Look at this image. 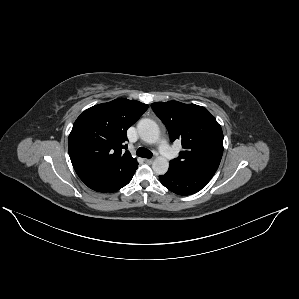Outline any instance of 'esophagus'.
Returning a JSON list of instances; mask_svg holds the SVG:
<instances>
[{
	"instance_id": "obj_1",
	"label": "esophagus",
	"mask_w": 299,
	"mask_h": 299,
	"mask_svg": "<svg viewBox=\"0 0 299 299\" xmlns=\"http://www.w3.org/2000/svg\"><path fill=\"white\" fill-rule=\"evenodd\" d=\"M145 163L151 164L153 162V159H144Z\"/></svg>"
}]
</instances>
